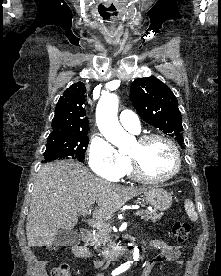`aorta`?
Here are the masks:
<instances>
[{"label": "aorta", "mask_w": 221, "mask_h": 276, "mask_svg": "<svg viewBox=\"0 0 221 276\" xmlns=\"http://www.w3.org/2000/svg\"><path fill=\"white\" fill-rule=\"evenodd\" d=\"M119 99L115 94L102 96L96 108V122L99 130L107 141L122 148L128 138V133L122 128L118 121ZM133 259H139V250L134 249Z\"/></svg>", "instance_id": "1"}]
</instances>
